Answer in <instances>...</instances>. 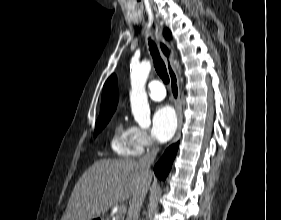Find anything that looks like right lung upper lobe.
Wrapping results in <instances>:
<instances>
[{
  "label": "right lung upper lobe",
  "instance_id": "cb5924a9",
  "mask_svg": "<svg viewBox=\"0 0 281 220\" xmlns=\"http://www.w3.org/2000/svg\"><path fill=\"white\" fill-rule=\"evenodd\" d=\"M118 102V88L116 82V76L111 75L105 82L103 87V93L101 98V116L112 115L116 109Z\"/></svg>",
  "mask_w": 281,
  "mask_h": 220
}]
</instances>
